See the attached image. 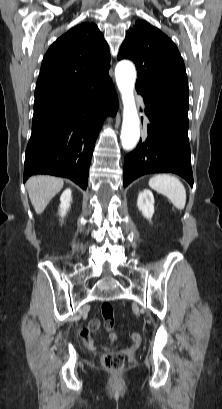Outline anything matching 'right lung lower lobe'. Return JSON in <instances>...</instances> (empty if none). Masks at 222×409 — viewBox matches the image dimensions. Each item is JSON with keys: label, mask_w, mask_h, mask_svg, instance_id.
Here are the masks:
<instances>
[{"label": "right lung lower lobe", "mask_w": 222, "mask_h": 409, "mask_svg": "<svg viewBox=\"0 0 222 409\" xmlns=\"http://www.w3.org/2000/svg\"><path fill=\"white\" fill-rule=\"evenodd\" d=\"M118 108L114 85L106 75L82 95L34 108L24 182L31 175L69 178L86 189L95 141L105 116Z\"/></svg>", "instance_id": "98d812e1"}]
</instances>
